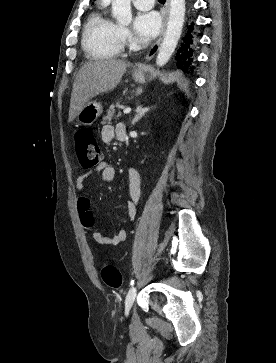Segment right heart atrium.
I'll list each match as a JSON object with an SVG mask.
<instances>
[{"label": "right heart atrium", "instance_id": "right-heart-atrium-1", "mask_svg": "<svg viewBox=\"0 0 276 363\" xmlns=\"http://www.w3.org/2000/svg\"><path fill=\"white\" fill-rule=\"evenodd\" d=\"M120 32H121V36H122L123 40H125V41L130 40L131 34H130V31L128 30V28L121 26Z\"/></svg>", "mask_w": 276, "mask_h": 363}]
</instances>
